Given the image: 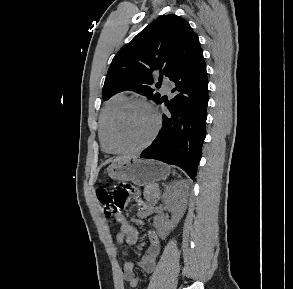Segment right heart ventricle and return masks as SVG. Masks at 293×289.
<instances>
[{
  "label": "right heart ventricle",
  "instance_id": "obj_1",
  "mask_svg": "<svg viewBox=\"0 0 293 289\" xmlns=\"http://www.w3.org/2000/svg\"><path fill=\"white\" fill-rule=\"evenodd\" d=\"M127 100V97L124 93H118L114 95L104 106L98 125V136L101 147L104 152H107V144H106V132L109 121L114 114V112Z\"/></svg>",
  "mask_w": 293,
  "mask_h": 289
}]
</instances>
